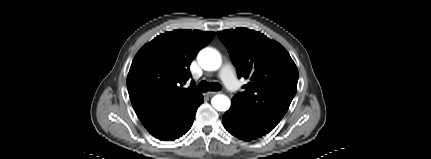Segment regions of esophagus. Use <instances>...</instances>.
<instances>
[{
    "label": "esophagus",
    "instance_id": "obj_1",
    "mask_svg": "<svg viewBox=\"0 0 431 159\" xmlns=\"http://www.w3.org/2000/svg\"><path fill=\"white\" fill-rule=\"evenodd\" d=\"M218 92H215V91H210V92H207L206 93V95L208 96V97H212V96H214L215 94H217Z\"/></svg>",
    "mask_w": 431,
    "mask_h": 159
}]
</instances>
